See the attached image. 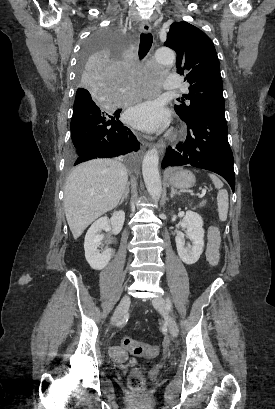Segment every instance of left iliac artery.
I'll list each match as a JSON object with an SVG mask.
<instances>
[{
  "instance_id": "left-iliac-artery-1",
  "label": "left iliac artery",
  "mask_w": 275,
  "mask_h": 409,
  "mask_svg": "<svg viewBox=\"0 0 275 409\" xmlns=\"http://www.w3.org/2000/svg\"><path fill=\"white\" fill-rule=\"evenodd\" d=\"M166 302H167V303H166V305H167V309H168L169 311H171L172 304H171L170 299H167V301H166Z\"/></svg>"
}]
</instances>
